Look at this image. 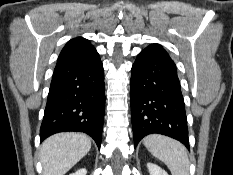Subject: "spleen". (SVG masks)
<instances>
[{
    "instance_id": "obj_1",
    "label": "spleen",
    "mask_w": 233,
    "mask_h": 175,
    "mask_svg": "<svg viewBox=\"0 0 233 175\" xmlns=\"http://www.w3.org/2000/svg\"><path fill=\"white\" fill-rule=\"evenodd\" d=\"M143 143L153 156L167 165L172 175H189L188 153L180 142L152 134L145 137Z\"/></svg>"
}]
</instances>
